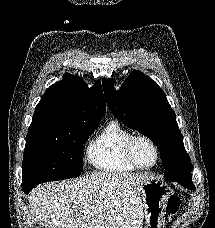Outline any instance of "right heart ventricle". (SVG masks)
<instances>
[{"instance_id":"e07e8e85","label":"right heart ventricle","mask_w":215,"mask_h":228,"mask_svg":"<svg viewBox=\"0 0 215 228\" xmlns=\"http://www.w3.org/2000/svg\"><path fill=\"white\" fill-rule=\"evenodd\" d=\"M134 132L117 120H111L87 146V160L96 170L109 174L135 171L126 160L125 145Z\"/></svg>"}]
</instances>
